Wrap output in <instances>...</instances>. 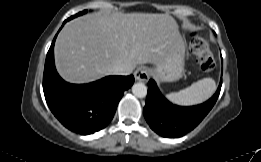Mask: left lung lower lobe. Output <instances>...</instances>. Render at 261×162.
<instances>
[{
	"instance_id": "0a47b994",
	"label": "left lung lower lobe",
	"mask_w": 261,
	"mask_h": 162,
	"mask_svg": "<svg viewBox=\"0 0 261 162\" xmlns=\"http://www.w3.org/2000/svg\"><path fill=\"white\" fill-rule=\"evenodd\" d=\"M222 79L216 93L203 104L182 107L171 104L160 93L154 80L148 82L144 117L150 128L165 138L181 137L193 130L205 118L218 99Z\"/></svg>"
}]
</instances>
